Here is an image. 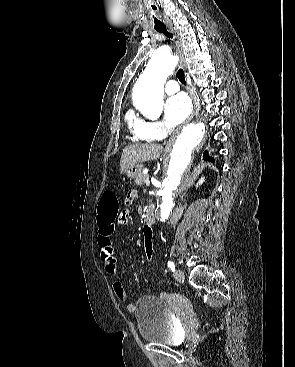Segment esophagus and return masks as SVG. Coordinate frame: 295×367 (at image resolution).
<instances>
[{
	"mask_svg": "<svg viewBox=\"0 0 295 367\" xmlns=\"http://www.w3.org/2000/svg\"><path fill=\"white\" fill-rule=\"evenodd\" d=\"M169 30L174 35V37L176 38V46H177V51H178V56H179V64L182 68H185L186 67V61H185V58H184V55H183V48H182L181 39L179 37V32H178L175 25H170ZM189 93H190V96L192 98V103H193L191 113H190L189 117L186 119V121L183 123V125L179 126L176 129V131L173 133V135L170 137V139L167 141L166 148H165L166 151H169L171 149V147H172L179 131L181 130V128L192 120V118L194 117V115L197 111L198 102H197V99L195 97V94L190 89H189Z\"/></svg>",
	"mask_w": 295,
	"mask_h": 367,
	"instance_id": "1",
	"label": "esophagus"
}]
</instances>
